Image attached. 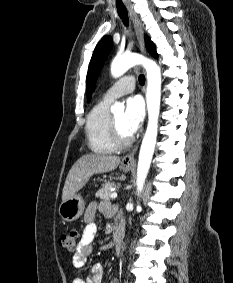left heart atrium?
Masks as SVG:
<instances>
[{"label":"left heart atrium","instance_id":"left-heart-atrium-1","mask_svg":"<svg viewBox=\"0 0 233 283\" xmlns=\"http://www.w3.org/2000/svg\"><path fill=\"white\" fill-rule=\"evenodd\" d=\"M145 115L144 102L140 96H132L126 101L124 125L132 135L140 127Z\"/></svg>","mask_w":233,"mask_h":283}]
</instances>
